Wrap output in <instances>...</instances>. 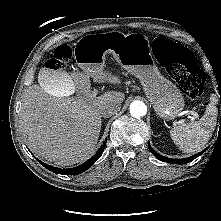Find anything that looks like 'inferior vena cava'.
<instances>
[{"label":"inferior vena cava","mask_w":221,"mask_h":221,"mask_svg":"<svg viewBox=\"0 0 221 221\" xmlns=\"http://www.w3.org/2000/svg\"><path fill=\"white\" fill-rule=\"evenodd\" d=\"M120 108H121V105L118 103L107 104L102 108L101 114L105 118L111 117L112 115L117 113L120 110Z\"/></svg>","instance_id":"1"}]
</instances>
